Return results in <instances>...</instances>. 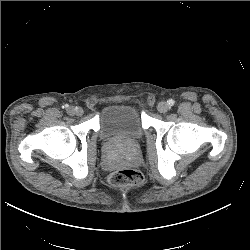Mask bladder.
<instances>
[{"instance_id":"bladder-1","label":"bladder","mask_w":250,"mask_h":250,"mask_svg":"<svg viewBox=\"0 0 250 250\" xmlns=\"http://www.w3.org/2000/svg\"><path fill=\"white\" fill-rule=\"evenodd\" d=\"M98 135L101 141L129 140L139 142L145 130L138 109L125 103L109 104L104 107L99 119Z\"/></svg>"}]
</instances>
